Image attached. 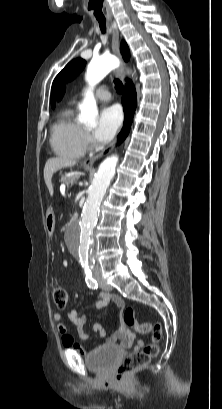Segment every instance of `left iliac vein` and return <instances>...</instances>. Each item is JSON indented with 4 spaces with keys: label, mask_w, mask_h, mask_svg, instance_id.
I'll use <instances>...</instances> for the list:
<instances>
[{
    "label": "left iliac vein",
    "mask_w": 222,
    "mask_h": 409,
    "mask_svg": "<svg viewBox=\"0 0 222 409\" xmlns=\"http://www.w3.org/2000/svg\"><path fill=\"white\" fill-rule=\"evenodd\" d=\"M96 280L98 281L100 287L102 288V290L104 291H111L112 287L100 276L98 275L96 277Z\"/></svg>",
    "instance_id": "left-iliac-vein-1"
}]
</instances>
